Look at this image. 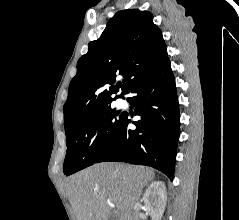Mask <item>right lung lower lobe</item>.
I'll use <instances>...</instances> for the list:
<instances>
[{
    "label": "right lung lower lobe",
    "instance_id": "obj_1",
    "mask_svg": "<svg viewBox=\"0 0 239 220\" xmlns=\"http://www.w3.org/2000/svg\"><path fill=\"white\" fill-rule=\"evenodd\" d=\"M127 101L135 108L140 120L132 122L124 115L115 137L95 163L127 162L154 167L173 179L180 116L175 79L167 60L138 81L128 92Z\"/></svg>",
    "mask_w": 239,
    "mask_h": 220
}]
</instances>
